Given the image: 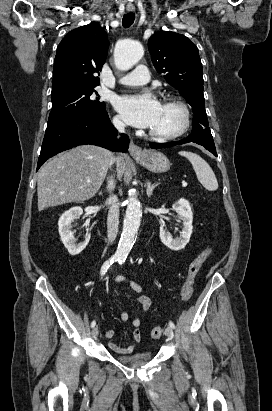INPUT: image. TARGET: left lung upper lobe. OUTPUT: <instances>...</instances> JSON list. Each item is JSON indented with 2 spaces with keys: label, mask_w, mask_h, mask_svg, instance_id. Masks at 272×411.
Returning <instances> with one entry per match:
<instances>
[{
  "label": "left lung upper lobe",
  "mask_w": 272,
  "mask_h": 411,
  "mask_svg": "<svg viewBox=\"0 0 272 411\" xmlns=\"http://www.w3.org/2000/svg\"><path fill=\"white\" fill-rule=\"evenodd\" d=\"M148 47L156 70L175 87L193 109L192 133L210 131L203 95V72L198 48L184 35L159 31Z\"/></svg>",
  "instance_id": "left-lung-upper-lobe-1"
}]
</instances>
